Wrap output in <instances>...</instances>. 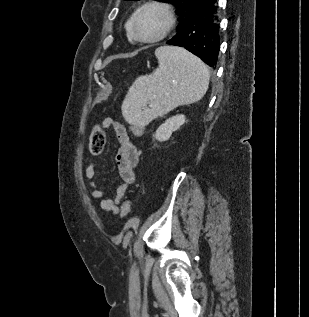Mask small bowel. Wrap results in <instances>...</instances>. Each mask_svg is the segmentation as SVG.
Here are the masks:
<instances>
[{"label": "small bowel", "mask_w": 309, "mask_h": 317, "mask_svg": "<svg viewBox=\"0 0 309 317\" xmlns=\"http://www.w3.org/2000/svg\"><path fill=\"white\" fill-rule=\"evenodd\" d=\"M103 126L114 131L119 144L115 160L121 183L118 185L114 195L111 198H106L104 190L95 180V163H90L87 166L85 178L91 197L100 200L101 209L112 214H118L128 187L135 181V169L139 161L138 150L131 142L128 132L122 123L108 118L103 121Z\"/></svg>", "instance_id": "1"}]
</instances>
